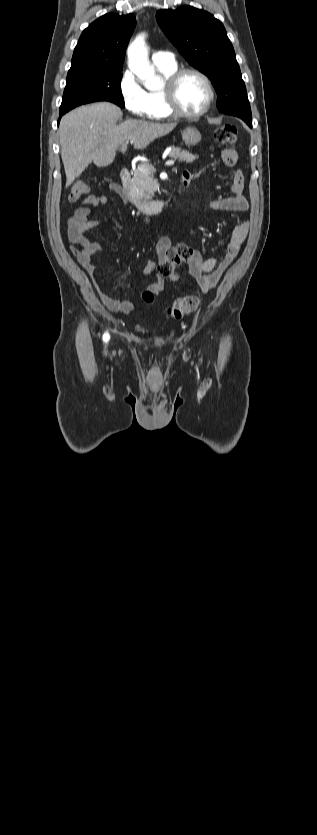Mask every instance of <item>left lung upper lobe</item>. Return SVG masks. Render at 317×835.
I'll return each mask as SVG.
<instances>
[{"label": "left lung upper lobe", "mask_w": 317, "mask_h": 835, "mask_svg": "<svg viewBox=\"0 0 317 835\" xmlns=\"http://www.w3.org/2000/svg\"><path fill=\"white\" fill-rule=\"evenodd\" d=\"M156 17L178 51L212 81L219 112L252 118L240 67L223 24L210 13L191 6L159 10Z\"/></svg>", "instance_id": "1"}]
</instances>
